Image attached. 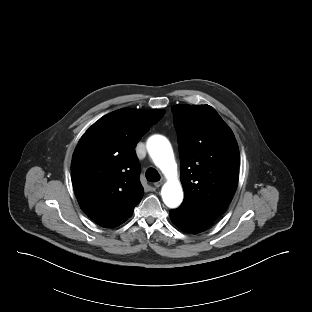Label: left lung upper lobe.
Listing matches in <instances>:
<instances>
[{
  "label": "left lung upper lobe",
  "mask_w": 312,
  "mask_h": 312,
  "mask_svg": "<svg viewBox=\"0 0 312 312\" xmlns=\"http://www.w3.org/2000/svg\"><path fill=\"white\" fill-rule=\"evenodd\" d=\"M178 134L184 201L179 207L214 222L238 184L239 149L231 129L209 105L171 108Z\"/></svg>",
  "instance_id": "obj_1"
}]
</instances>
